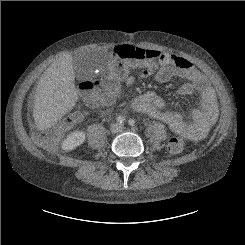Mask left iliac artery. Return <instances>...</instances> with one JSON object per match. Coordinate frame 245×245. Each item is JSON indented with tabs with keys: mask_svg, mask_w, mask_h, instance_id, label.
Masks as SVG:
<instances>
[{
	"mask_svg": "<svg viewBox=\"0 0 245 245\" xmlns=\"http://www.w3.org/2000/svg\"><path fill=\"white\" fill-rule=\"evenodd\" d=\"M128 124H129L130 126H135L136 121H135L133 118H130V119L128 120Z\"/></svg>",
	"mask_w": 245,
	"mask_h": 245,
	"instance_id": "44dca946",
	"label": "left iliac artery"
}]
</instances>
